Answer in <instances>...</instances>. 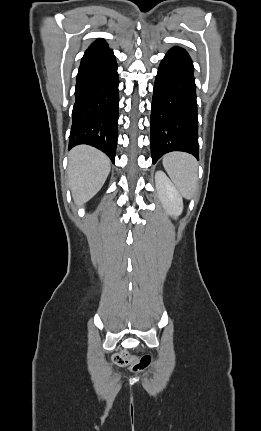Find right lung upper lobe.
<instances>
[{
  "label": "right lung upper lobe",
  "instance_id": "obj_1",
  "mask_svg": "<svg viewBox=\"0 0 261 431\" xmlns=\"http://www.w3.org/2000/svg\"><path fill=\"white\" fill-rule=\"evenodd\" d=\"M95 47H107V44L103 39L99 38L94 43H92L89 48H95Z\"/></svg>",
  "mask_w": 261,
  "mask_h": 431
}]
</instances>
